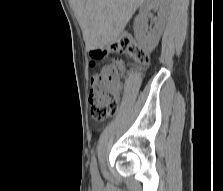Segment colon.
Here are the masks:
<instances>
[{
  "instance_id": "1",
  "label": "colon",
  "mask_w": 223,
  "mask_h": 191,
  "mask_svg": "<svg viewBox=\"0 0 223 191\" xmlns=\"http://www.w3.org/2000/svg\"><path fill=\"white\" fill-rule=\"evenodd\" d=\"M108 50L127 53L140 64H145L148 61L147 56L140 51L129 34L119 36L109 46ZM105 53L106 50H96L94 56L100 58ZM123 71L122 61L113 59L110 64L104 66L99 73L92 77L89 102L94 120L105 121L115 113L117 108V83Z\"/></svg>"
}]
</instances>
